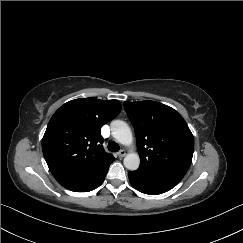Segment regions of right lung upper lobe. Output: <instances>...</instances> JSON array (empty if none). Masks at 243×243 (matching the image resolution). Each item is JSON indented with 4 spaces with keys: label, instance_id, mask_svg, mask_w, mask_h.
Wrapping results in <instances>:
<instances>
[{
    "label": "right lung upper lobe",
    "instance_id": "cb5924a9",
    "mask_svg": "<svg viewBox=\"0 0 243 243\" xmlns=\"http://www.w3.org/2000/svg\"><path fill=\"white\" fill-rule=\"evenodd\" d=\"M120 111L118 100L81 98L65 103L54 113L42 139V150L59 183L114 160L104 151L100 130Z\"/></svg>",
    "mask_w": 243,
    "mask_h": 243
}]
</instances>
